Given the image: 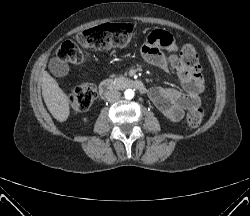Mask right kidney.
Wrapping results in <instances>:
<instances>
[{"label":"right kidney","mask_w":250,"mask_h":216,"mask_svg":"<svg viewBox=\"0 0 250 216\" xmlns=\"http://www.w3.org/2000/svg\"><path fill=\"white\" fill-rule=\"evenodd\" d=\"M83 120H84V122H87V118H84Z\"/></svg>","instance_id":"right-kidney-1"}]
</instances>
